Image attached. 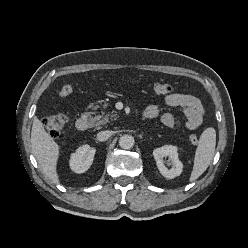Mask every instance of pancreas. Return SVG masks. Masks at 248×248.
I'll return each mask as SVG.
<instances>
[{"label": "pancreas", "instance_id": "pancreas-1", "mask_svg": "<svg viewBox=\"0 0 248 248\" xmlns=\"http://www.w3.org/2000/svg\"><path fill=\"white\" fill-rule=\"evenodd\" d=\"M116 116L117 114H112V115L107 114V115L102 116V119L99 120V122L96 125V128L100 129L101 128L100 125L106 124L107 122H109V119H112V118L116 119Z\"/></svg>", "mask_w": 248, "mask_h": 248}]
</instances>
